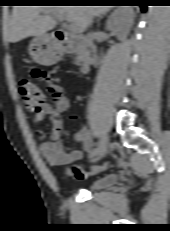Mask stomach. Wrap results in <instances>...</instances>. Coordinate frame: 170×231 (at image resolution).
Returning a JSON list of instances; mask_svg holds the SVG:
<instances>
[{"instance_id": "obj_1", "label": "stomach", "mask_w": 170, "mask_h": 231, "mask_svg": "<svg viewBox=\"0 0 170 231\" xmlns=\"http://www.w3.org/2000/svg\"><path fill=\"white\" fill-rule=\"evenodd\" d=\"M28 50L31 58L42 65H52L59 59V52L47 35L35 37Z\"/></svg>"}]
</instances>
